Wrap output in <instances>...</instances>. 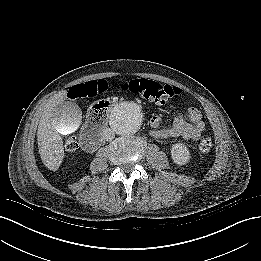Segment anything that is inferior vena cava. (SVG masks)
<instances>
[{
	"mask_svg": "<svg viewBox=\"0 0 261 261\" xmlns=\"http://www.w3.org/2000/svg\"><path fill=\"white\" fill-rule=\"evenodd\" d=\"M103 138L106 141H111L115 138V133L111 128H105L103 130Z\"/></svg>",
	"mask_w": 261,
	"mask_h": 261,
	"instance_id": "602c4592",
	"label": "inferior vena cava"
}]
</instances>
